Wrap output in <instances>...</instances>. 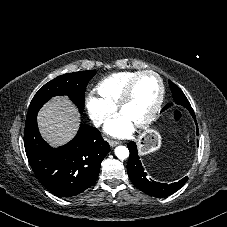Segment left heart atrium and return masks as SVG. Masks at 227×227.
I'll return each mask as SVG.
<instances>
[{
    "instance_id": "obj_1",
    "label": "left heart atrium",
    "mask_w": 227,
    "mask_h": 227,
    "mask_svg": "<svg viewBox=\"0 0 227 227\" xmlns=\"http://www.w3.org/2000/svg\"><path fill=\"white\" fill-rule=\"evenodd\" d=\"M105 133L113 137H125L133 131L132 124L122 115L109 120L105 127Z\"/></svg>"
}]
</instances>
